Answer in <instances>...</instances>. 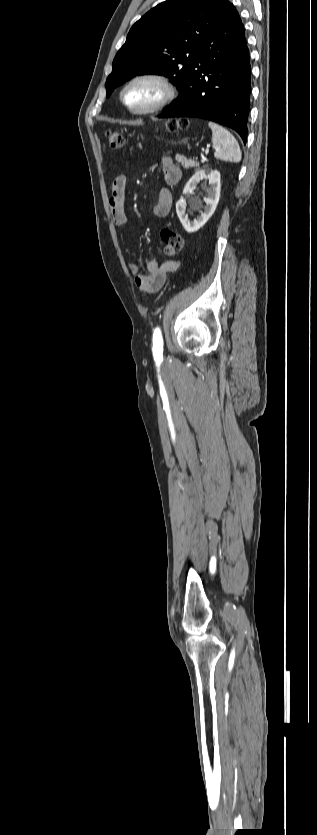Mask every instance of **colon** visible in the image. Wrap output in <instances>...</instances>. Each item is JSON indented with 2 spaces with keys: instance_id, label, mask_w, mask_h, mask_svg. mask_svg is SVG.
<instances>
[{
  "instance_id": "1",
  "label": "colon",
  "mask_w": 317,
  "mask_h": 835,
  "mask_svg": "<svg viewBox=\"0 0 317 835\" xmlns=\"http://www.w3.org/2000/svg\"><path fill=\"white\" fill-rule=\"evenodd\" d=\"M188 127V120L186 119H178V120H170L166 124V129L171 132H177L180 130H184ZM106 136L108 139V146L112 150L120 149L124 146L125 138L124 136L114 130H107ZM161 239L164 244V254L167 256H175L181 252L184 246V241L182 236L177 233L175 230L171 228H163L161 230Z\"/></svg>"
}]
</instances>
